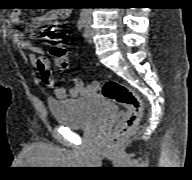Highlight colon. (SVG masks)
<instances>
[{
  "label": "colon",
  "mask_w": 192,
  "mask_h": 180,
  "mask_svg": "<svg viewBox=\"0 0 192 180\" xmlns=\"http://www.w3.org/2000/svg\"><path fill=\"white\" fill-rule=\"evenodd\" d=\"M42 34L51 43L50 53L56 63L63 69L67 68L68 53L65 48L68 42L67 35L52 24L44 26ZM101 92L104 97L126 109L111 137V141L116 142L130 133L139 123L143 111L142 102L134 90L116 80H106L102 84Z\"/></svg>",
  "instance_id": "colon-1"
}]
</instances>
